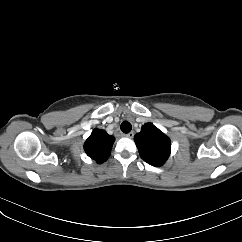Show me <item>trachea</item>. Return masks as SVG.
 Instances as JSON below:
<instances>
[{
  "mask_svg": "<svg viewBox=\"0 0 242 242\" xmlns=\"http://www.w3.org/2000/svg\"><path fill=\"white\" fill-rule=\"evenodd\" d=\"M120 128L123 133H129L132 130V125L128 121H123Z\"/></svg>",
  "mask_w": 242,
  "mask_h": 242,
  "instance_id": "obj_1",
  "label": "trachea"
}]
</instances>
